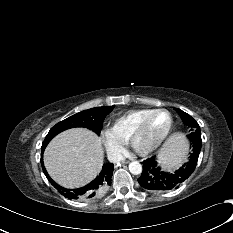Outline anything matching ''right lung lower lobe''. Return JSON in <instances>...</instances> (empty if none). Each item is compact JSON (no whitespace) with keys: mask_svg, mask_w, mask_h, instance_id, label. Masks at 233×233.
<instances>
[{"mask_svg":"<svg viewBox=\"0 0 233 233\" xmlns=\"http://www.w3.org/2000/svg\"><path fill=\"white\" fill-rule=\"evenodd\" d=\"M45 148H41V164L44 171V174L48 178V180L51 182V184L59 191L60 194L63 196L69 198V199H89L93 198L95 196L100 195L103 193L107 186L111 184V178L113 175V164L107 163L104 164L102 167V171L99 173V175L88 185L77 188V189H67L64 187H61L57 185L48 175L44 163H43V152Z\"/></svg>","mask_w":233,"mask_h":233,"instance_id":"1","label":"right lung lower lobe"}]
</instances>
